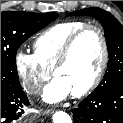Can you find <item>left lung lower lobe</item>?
<instances>
[{"label":"left lung lower lobe","mask_w":123,"mask_h":123,"mask_svg":"<svg viewBox=\"0 0 123 123\" xmlns=\"http://www.w3.org/2000/svg\"><path fill=\"white\" fill-rule=\"evenodd\" d=\"M71 111L74 123H123V84L95 89Z\"/></svg>","instance_id":"obj_1"}]
</instances>
